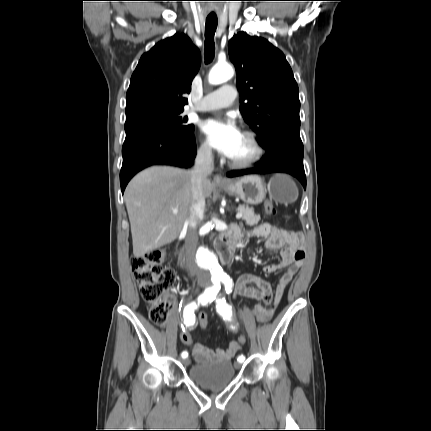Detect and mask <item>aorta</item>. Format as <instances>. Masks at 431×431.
<instances>
[{"instance_id":"obj_1","label":"aorta","mask_w":431,"mask_h":431,"mask_svg":"<svg viewBox=\"0 0 431 431\" xmlns=\"http://www.w3.org/2000/svg\"><path fill=\"white\" fill-rule=\"evenodd\" d=\"M234 75V70L229 64L215 65L209 73V83L218 85L231 79ZM214 224L207 222L201 226L199 236L205 239L212 234ZM197 264L200 268L209 273V285L211 287L218 286L225 278L226 274L221 268L216 255L205 245L198 248L196 253Z\"/></svg>"}]
</instances>
